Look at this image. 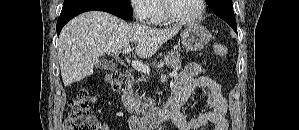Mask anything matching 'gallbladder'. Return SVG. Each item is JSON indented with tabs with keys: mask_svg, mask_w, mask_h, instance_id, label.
Wrapping results in <instances>:
<instances>
[{
	"mask_svg": "<svg viewBox=\"0 0 299 130\" xmlns=\"http://www.w3.org/2000/svg\"><path fill=\"white\" fill-rule=\"evenodd\" d=\"M97 68L100 69H105V70H113L116 68V65L113 64L112 62L106 61V60H101L98 62L96 65Z\"/></svg>",
	"mask_w": 299,
	"mask_h": 130,
	"instance_id": "gallbladder-1",
	"label": "gallbladder"
}]
</instances>
